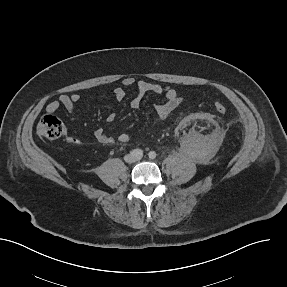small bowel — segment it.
I'll return each mask as SVG.
<instances>
[{
    "mask_svg": "<svg viewBox=\"0 0 287 287\" xmlns=\"http://www.w3.org/2000/svg\"><path fill=\"white\" fill-rule=\"evenodd\" d=\"M122 84L124 87L136 88V95L131 101V106L133 108H138L140 106L143 96L147 93L164 94L165 101L155 105L154 107L155 122L168 118L181 103V97L178 95L176 90L168 85L152 83L145 80L137 81L134 77L130 76L125 77L122 80ZM113 94L117 101H122L126 97L125 90L121 87L115 88ZM80 100L81 96L77 93L71 95L63 94L57 100L49 102L46 106V111L48 113H54L62 107L70 115L77 117L76 104ZM114 119L115 116L113 114L108 117L109 121H113ZM94 138L97 142L104 145H110L115 141V138L106 133L103 129H97L94 132ZM117 140L121 143H128L131 140V137L127 133H121L118 135ZM66 142L70 145L80 144L79 138L73 135H67Z\"/></svg>",
    "mask_w": 287,
    "mask_h": 287,
    "instance_id": "small-bowel-1",
    "label": "small bowel"
}]
</instances>
